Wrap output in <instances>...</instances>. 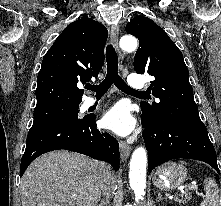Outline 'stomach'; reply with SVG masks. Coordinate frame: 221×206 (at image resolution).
<instances>
[{"instance_id": "1", "label": "stomach", "mask_w": 221, "mask_h": 206, "mask_svg": "<svg viewBox=\"0 0 221 206\" xmlns=\"http://www.w3.org/2000/svg\"><path fill=\"white\" fill-rule=\"evenodd\" d=\"M186 176L187 170L184 166L170 162L155 171L153 184L162 190H172L182 185Z\"/></svg>"}]
</instances>
